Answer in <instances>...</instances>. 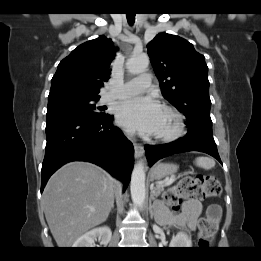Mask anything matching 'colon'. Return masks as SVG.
<instances>
[{"label": "colon", "mask_w": 261, "mask_h": 261, "mask_svg": "<svg viewBox=\"0 0 261 261\" xmlns=\"http://www.w3.org/2000/svg\"><path fill=\"white\" fill-rule=\"evenodd\" d=\"M221 185L216 175L209 173L181 179L175 186L163 194L164 202L173 211H178L185 200H204L217 197L221 193ZM218 229L217 220L210 212L199 220L198 245L208 247Z\"/></svg>", "instance_id": "obj_1"}]
</instances>
